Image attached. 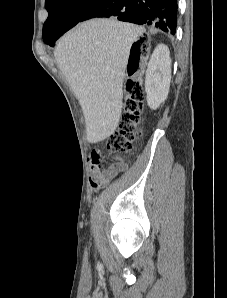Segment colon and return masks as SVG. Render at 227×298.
I'll list each match as a JSON object with an SVG mask.
<instances>
[{"instance_id":"colon-1","label":"colon","mask_w":227,"mask_h":298,"mask_svg":"<svg viewBox=\"0 0 227 298\" xmlns=\"http://www.w3.org/2000/svg\"><path fill=\"white\" fill-rule=\"evenodd\" d=\"M149 45L147 38H141L136 41L133 47L127 79L123 89V112L119 128L114 131L106 141L107 150L111 153L127 154L130 153L136 141L142 137L141 115L143 111L144 88L141 80L133 78L131 75L139 67V53L143 48Z\"/></svg>"}]
</instances>
